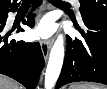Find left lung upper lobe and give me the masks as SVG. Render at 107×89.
Returning <instances> with one entry per match:
<instances>
[{
    "mask_svg": "<svg viewBox=\"0 0 107 89\" xmlns=\"http://www.w3.org/2000/svg\"><path fill=\"white\" fill-rule=\"evenodd\" d=\"M82 14H98L107 16V0H79Z\"/></svg>",
    "mask_w": 107,
    "mask_h": 89,
    "instance_id": "5c2ea615",
    "label": "left lung upper lobe"
}]
</instances>
